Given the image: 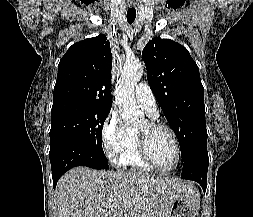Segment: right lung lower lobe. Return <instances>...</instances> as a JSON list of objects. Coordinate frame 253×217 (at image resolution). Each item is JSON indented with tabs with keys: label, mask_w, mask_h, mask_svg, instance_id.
I'll list each match as a JSON object with an SVG mask.
<instances>
[{
	"label": "right lung lower lobe",
	"mask_w": 253,
	"mask_h": 217,
	"mask_svg": "<svg viewBox=\"0 0 253 217\" xmlns=\"http://www.w3.org/2000/svg\"><path fill=\"white\" fill-rule=\"evenodd\" d=\"M49 157L54 188L59 178L75 166H87L95 169L109 168L108 162L88 145L75 140L63 141L51 146Z\"/></svg>",
	"instance_id": "1"
}]
</instances>
